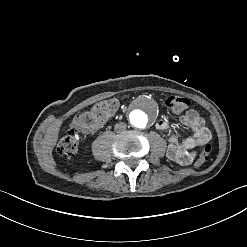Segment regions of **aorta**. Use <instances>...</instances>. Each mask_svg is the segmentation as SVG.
I'll return each mask as SVG.
<instances>
[{
	"instance_id": "1",
	"label": "aorta",
	"mask_w": 247,
	"mask_h": 247,
	"mask_svg": "<svg viewBox=\"0 0 247 247\" xmlns=\"http://www.w3.org/2000/svg\"><path fill=\"white\" fill-rule=\"evenodd\" d=\"M132 124L137 128H144L147 124V117L142 112L133 114L131 117Z\"/></svg>"
}]
</instances>
